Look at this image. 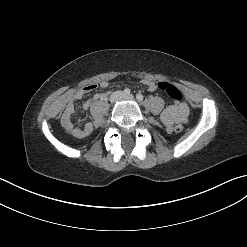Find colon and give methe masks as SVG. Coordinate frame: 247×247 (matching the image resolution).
<instances>
[{
	"instance_id": "colon-1",
	"label": "colon",
	"mask_w": 247,
	"mask_h": 247,
	"mask_svg": "<svg viewBox=\"0 0 247 247\" xmlns=\"http://www.w3.org/2000/svg\"><path fill=\"white\" fill-rule=\"evenodd\" d=\"M157 87L159 90L165 92L172 100L176 102H180L182 100V94L176 86L169 84L167 82H159L157 84ZM173 130L176 133H180L183 130V125L176 124L174 125Z\"/></svg>"
}]
</instances>
